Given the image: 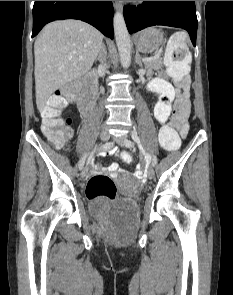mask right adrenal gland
<instances>
[{
	"instance_id": "2a0ac1e0",
	"label": "right adrenal gland",
	"mask_w": 233,
	"mask_h": 295,
	"mask_svg": "<svg viewBox=\"0 0 233 295\" xmlns=\"http://www.w3.org/2000/svg\"><path fill=\"white\" fill-rule=\"evenodd\" d=\"M105 56H106V47H105V45L103 44V45H102V48H101V52H100V54H99V56H98V58H97V61H101L102 59L105 58Z\"/></svg>"
}]
</instances>
